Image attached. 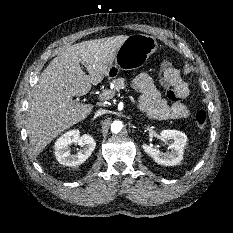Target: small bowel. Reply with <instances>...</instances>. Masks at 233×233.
Segmentation results:
<instances>
[{
    "mask_svg": "<svg viewBox=\"0 0 233 233\" xmlns=\"http://www.w3.org/2000/svg\"><path fill=\"white\" fill-rule=\"evenodd\" d=\"M132 85L140 92V109L149 117L160 120L185 119L190 111L184 104L189 95L188 84L181 78L176 87L182 93L181 101L169 104L161 95L147 73H136L132 76Z\"/></svg>",
    "mask_w": 233,
    "mask_h": 233,
    "instance_id": "1",
    "label": "small bowel"
}]
</instances>
